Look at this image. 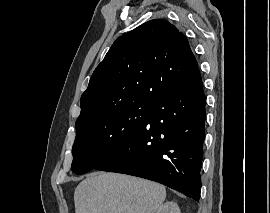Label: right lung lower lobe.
Returning a JSON list of instances; mask_svg holds the SVG:
<instances>
[{
  "label": "right lung lower lobe",
  "instance_id": "right-lung-lower-lobe-1",
  "mask_svg": "<svg viewBox=\"0 0 270 213\" xmlns=\"http://www.w3.org/2000/svg\"><path fill=\"white\" fill-rule=\"evenodd\" d=\"M205 103L197 68L160 98L141 128L95 169L153 180L199 201Z\"/></svg>",
  "mask_w": 270,
  "mask_h": 213
}]
</instances>
